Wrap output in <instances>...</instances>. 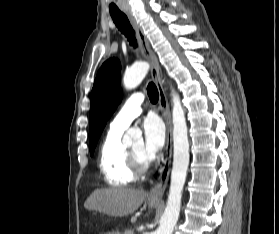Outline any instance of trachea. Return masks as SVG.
I'll return each mask as SVG.
<instances>
[{
    "instance_id": "trachea-1",
    "label": "trachea",
    "mask_w": 279,
    "mask_h": 234,
    "mask_svg": "<svg viewBox=\"0 0 279 234\" xmlns=\"http://www.w3.org/2000/svg\"><path fill=\"white\" fill-rule=\"evenodd\" d=\"M114 23L116 24L117 28L128 38L130 44L132 46H136V38H135V32L130 25V22L127 18V16L122 12H112L110 13ZM147 93L149 96V99L152 103H156L159 98L158 89L156 85L152 82H150L147 86Z\"/></svg>"
}]
</instances>
